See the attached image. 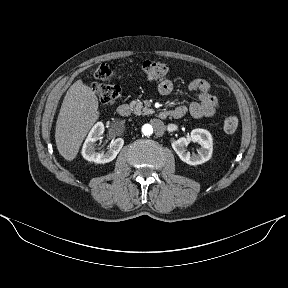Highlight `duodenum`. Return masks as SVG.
I'll return each instance as SVG.
<instances>
[{
    "label": "duodenum",
    "mask_w": 288,
    "mask_h": 288,
    "mask_svg": "<svg viewBox=\"0 0 288 288\" xmlns=\"http://www.w3.org/2000/svg\"><path fill=\"white\" fill-rule=\"evenodd\" d=\"M130 107L128 104H121L119 105L117 112L120 116L122 117H127L130 115ZM160 118L165 119L169 116L176 118L178 116V114L175 111H163L160 112L159 114Z\"/></svg>",
    "instance_id": "duodenum-1"
}]
</instances>
